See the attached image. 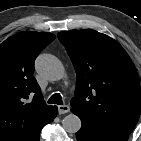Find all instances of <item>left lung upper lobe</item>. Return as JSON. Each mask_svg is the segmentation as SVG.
Segmentation results:
<instances>
[{
	"instance_id": "5c2ea615",
	"label": "left lung upper lobe",
	"mask_w": 141,
	"mask_h": 141,
	"mask_svg": "<svg viewBox=\"0 0 141 141\" xmlns=\"http://www.w3.org/2000/svg\"><path fill=\"white\" fill-rule=\"evenodd\" d=\"M77 75L72 109L100 127L129 135L141 113L140 81L122 46L92 29L58 33Z\"/></svg>"
}]
</instances>
